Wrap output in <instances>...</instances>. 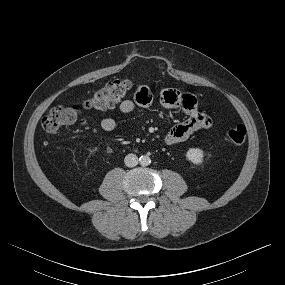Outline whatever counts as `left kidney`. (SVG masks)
Masks as SVG:
<instances>
[{
  "instance_id": "1",
  "label": "left kidney",
  "mask_w": 285,
  "mask_h": 285,
  "mask_svg": "<svg viewBox=\"0 0 285 285\" xmlns=\"http://www.w3.org/2000/svg\"><path fill=\"white\" fill-rule=\"evenodd\" d=\"M203 157L204 153L200 148H190L186 153V158L196 165L202 164Z\"/></svg>"
}]
</instances>
